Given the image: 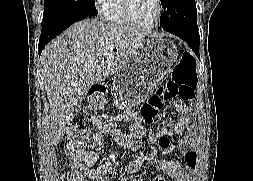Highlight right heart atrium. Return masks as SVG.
Listing matches in <instances>:
<instances>
[{
    "mask_svg": "<svg viewBox=\"0 0 253 181\" xmlns=\"http://www.w3.org/2000/svg\"><path fill=\"white\" fill-rule=\"evenodd\" d=\"M111 0H93L96 11L103 17L106 16Z\"/></svg>",
    "mask_w": 253,
    "mask_h": 181,
    "instance_id": "right-heart-atrium-1",
    "label": "right heart atrium"
}]
</instances>
